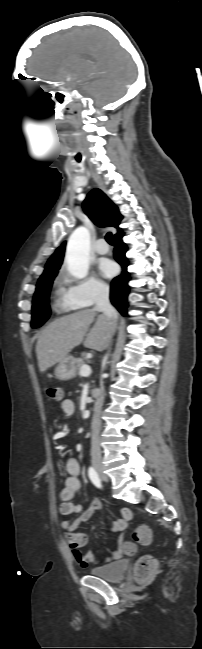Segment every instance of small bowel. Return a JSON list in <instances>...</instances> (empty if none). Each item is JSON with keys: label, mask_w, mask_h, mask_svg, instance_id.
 Here are the masks:
<instances>
[{"label": "small bowel", "mask_w": 202, "mask_h": 649, "mask_svg": "<svg viewBox=\"0 0 202 649\" xmlns=\"http://www.w3.org/2000/svg\"><path fill=\"white\" fill-rule=\"evenodd\" d=\"M61 410L64 415L71 416L75 412V404L72 399H65L61 402ZM59 435H61L59 433ZM65 470L67 477L64 482L63 488L60 490L59 498L61 500L60 514L62 516L61 527L64 529V536L71 550V554L76 562L82 567L87 568L90 565L97 566L103 562L112 559L121 558L123 553L124 539L122 535L117 537L116 548L110 551L105 556H98L94 551L82 553L83 548L87 542L88 537L85 534L77 533L76 530L82 524L87 522L92 516L93 512L102 507V503L98 499H94L87 507H83L79 503L73 501L76 493L81 489V466L76 458H70L65 463ZM76 514L78 515L75 520L70 522L67 517ZM132 513L129 509L124 508L121 511V516L110 527V531L121 533L128 525Z\"/></svg>", "instance_id": "1"}]
</instances>
